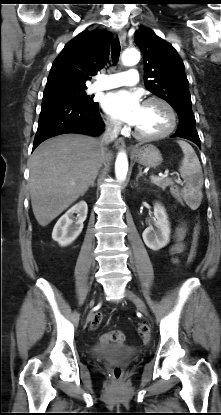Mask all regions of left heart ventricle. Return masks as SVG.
I'll use <instances>...</instances> for the list:
<instances>
[{"instance_id": "left-heart-ventricle-1", "label": "left heart ventricle", "mask_w": 221, "mask_h": 415, "mask_svg": "<svg viewBox=\"0 0 221 415\" xmlns=\"http://www.w3.org/2000/svg\"><path fill=\"white\" fill-rule=\"evenodd\" d=\"M170 119L166 108L157 102L143 104L141 114L135 128L144 134L163 132Z\"/></svg>"}]
</instances>
